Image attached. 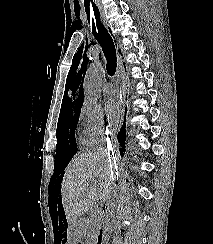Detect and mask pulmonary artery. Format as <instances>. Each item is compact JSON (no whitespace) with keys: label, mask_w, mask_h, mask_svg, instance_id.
Segmentation results:
<instances>
[{"label":"pulmonary artery","mask_w":213,"mask_h":244,"mask_svg":"<svg viewBox=\"0 0 213 244\" xmlns=\"http://www.w3.org/2000/svg\"><path fill=\"white\" fill-rule=\"evenodd\" d=\"M103 92L108 96L113 95L115 93L114 86L111 83H105L103 85Z\"/></svg>","instance_id":"pulmonary-artery-1"}]
</instances>
